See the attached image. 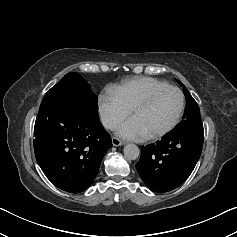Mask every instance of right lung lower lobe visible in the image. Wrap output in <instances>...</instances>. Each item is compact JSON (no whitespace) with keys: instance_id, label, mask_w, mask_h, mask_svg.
<instances>
[{"instance_id":"1","label":"right lung lower lobe","mask_w":237,"mask_h":237,"mask_svg":"<svg viewBox=\"0 0 237 237\" xmlns=\"http://www.w3.org/2000/svg\"><path fill=\"white\" fill-rule=\"evenodd\" d=\"M34 136L39 166L55 186L70 193L90 186L112 147L97 113L76 109L50 92L41 102Z\"/></svg>"}]
</instances>
